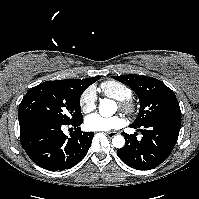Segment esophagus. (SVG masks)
<instances>
[{
  "mask_svg": "<svg viewBox=\"0 0 199 199\" xmlns=\"http://www.w3.org/2000/svg\"><path fill=\"white\" fill-rule=\"evenodd\" d=\"M106 134L108 137L112 138L113 136L116 135V132H107Z\"/></svg>",
  "mask_w": 199,
  "mask_h": 199,
  "instance_id": "obj_1",
  "label": "esophagus"
}]
</instances>
